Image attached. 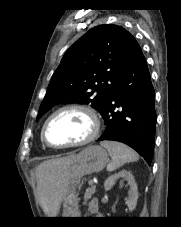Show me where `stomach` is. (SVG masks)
<instances>
[{
    "mask_svg": "<svg viewBox=\"0 0 181 227\" xmlns=\"http://www.w3.org/2000/svg\"><path fill=\"white\" fill-rule=\"evenodd\" d=\"M107 151L98 145H91L83 149L70 166V180L68 192L63 200L62 217H78L77 188L84 175L101 171L108 163Z\"/></svg>",
    "mask_w": 181,
    "mask_h": 227,
    "instance_id": "0dacf381",
    "label": "stomach"
}]
</instances>
